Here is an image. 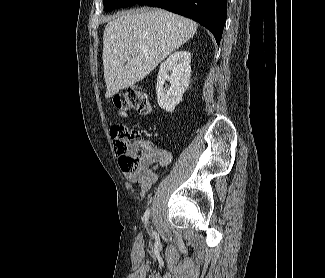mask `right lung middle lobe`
Listing matches in <instances>:
<instances>
[{
    "mask_svg": "<svg viewBox=\"0 0 325 278\" xmlns=\"http://www.w3.org/2000/svg\"><path fill=\"white\" fill-rule=\"evenodd\" d=\"M138 0H104V10L112 11L119 7H129L136 4Z\"/></svg>",
    "mask_w": 325,
    "mask_h": 278,
    "instance_id": "obj_1",
    "label": "right lung middle lobe"
}]
</instances>
